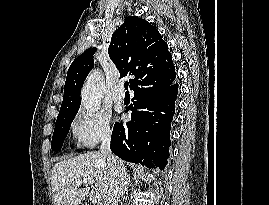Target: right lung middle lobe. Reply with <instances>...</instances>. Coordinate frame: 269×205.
<instances>
[{"label": "right lung middle lobe", "instance_id": "dd1d6c3e", "mask_svg": "<svg viewBox=\"0 0 269 205\" xmlns=\"http://www.w3.org/2000/svg\"><path fill=\"white\" fill-rule=\"evenodd\" d=\"M76 113L58 118L52 137L51 148L54 151H60L63 141L69 131L70 125L75 117Z\"/></svg>", "mask_w": 269, "mask_h": 205}]
</instances>
